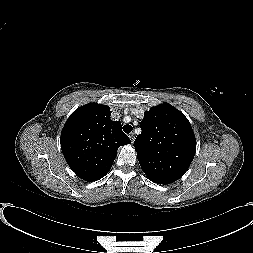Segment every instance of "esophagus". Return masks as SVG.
<instances>
[{
    "instance_id": "obj_1",
    "label": "esophagus",
    "mask_w": 253,
    "mask_h": 253,
    "mask_svg": "<svg viewBox=\"0 0 253 253\" xmlns=\"http://www.w3.org/2000/svg\"><path fill=\"white\" fill-rule=\"evenodd\" d=\"M129 138H130V140H131V143H133V142H134V139H135L134 133H130V134H129Z\"/></svg>"
}]
</instances>
